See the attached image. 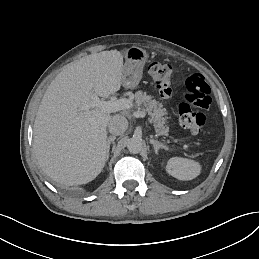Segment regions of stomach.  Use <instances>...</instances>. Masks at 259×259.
<instances>
[{"instance_id":"1","label":"stomach","mask_w":259,"mask_h":259,"mask_svg":"<svg viewBox=\"0 0 259 259\" xmlns=\"http://www.w3.org/2000/svg\"><path fill=\"white\" fill-rule=\"evenodd\" d=\"M125 56L128 63L123 67L121 81L126 88L134 89L141 84L142 67L148 59V53L138 46H131Z\"/></svg>"}]
</instances>
